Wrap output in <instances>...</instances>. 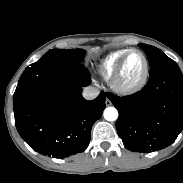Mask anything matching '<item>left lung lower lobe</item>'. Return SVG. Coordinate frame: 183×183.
I'll return each mask as SVG.
<instances>
[{"label": "left lung lower lobe", "mask_w": 183, "mask_h": 183, "mask_svg": "<svg viewBox=\"0 0 183 183\" xmlns=\"http://www.w3.org/2000/svg\"><path fill=\"white\" fill-rule=\"evenodd\" d=\"M107 97L119 111L116 129L130 151L164 149L183 129V75L178 65L150 75L140 92Z\"/></svg>", "instance_id": "1"}]
</instances>
